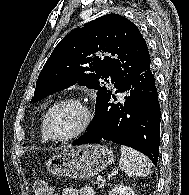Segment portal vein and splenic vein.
<instances>
[{
    "mask_svg": "<svg viewBox=\"0 0 189 195\" xmlns=\"http://www.w3.org/2000/svg\"><path fill=\"white\" fill-rule=\"evenodd\" d=\"M97 181H98V182H102V183H103V186H104L105 181L103 180L102 177H97Z\"/></svg>",
    "mask_w": 189,
    "mask_h": 195,
    "instance_id": "obj_1",
    "label": "portal vein and splenic vein"
}]
</instances>
